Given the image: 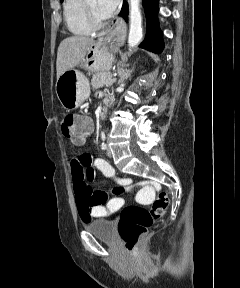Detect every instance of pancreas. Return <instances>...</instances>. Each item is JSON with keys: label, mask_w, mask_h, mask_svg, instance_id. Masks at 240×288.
<instances>
[{"label": "pancreas", "mask_w": 240, "mask_h": 288, "mask_svg": "<svg viewBox=\"0 0 240 288\" xmlns=\"http://www.w3.org/2000/svg\"><path fill=\"white\" fill-rule=\"evenodd\" d=\"M115 82V78L109 73L97 72L92 76L91 85L97 89L99 87H110Z\"/></svg>", "instance_id": "cf45deb5"}]
</instances>
